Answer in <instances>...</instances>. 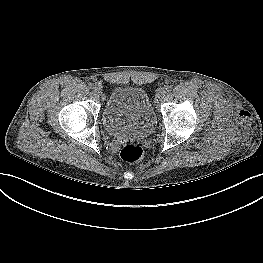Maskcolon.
Segmentation results:
<instances>
[{
	"instance_id": "obj_1",
	"label": "colon",
	"mask_w": 263,
	"mask_h": 263,
	"mask_svg": "<svg viewBox=\"0 0 263 263\" xmlns=\"http://www.w3.org/2000/svg\"><path fill=\"white\" fill-rule=\"evenodd\" d=\"M143 156V150L136 144H126L120 152V157L127 162L139 161Z\"/></svg>"
}]
</instances>
